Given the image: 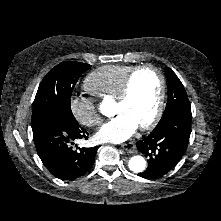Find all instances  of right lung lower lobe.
Returning <instances> with one entry per match:
<instances>
[{"label": "right lung lower lobe", "instance_id": "obj_1", "mask_svg": "<svg viewBox=\"0 0 221 221\" xmlns=\"http://www.w3.org/2000/svg\"><path fill=\"white\" fill-rule=\"evenodd\" d=\"M33 130L37 153L51 174L62 180H73L85 174L93 165L98 146L73 150L75 139L88 138L78 122L57 119Z\"/></svg>", "mask_w": 221, "mask_h": 221}]
</instances>
